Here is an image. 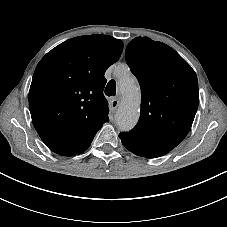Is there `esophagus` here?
I'll list each match as a JSON object with an SVG mask.
<instances>
[{"label":"esophagus","mask_w":227,"mask_h":227,"mask_svg":"<svg viewBox=\"0 0 227 227\" xmlns=\"http://www.w3.org/2000/svg\"><path fill=\"white\" fill-rule=\"evenodd\" d=\"M119 106V100L117 98L110 101L109 107L112 112H115Z\"/></svg>","instance_id":"1"}]
</instances>
